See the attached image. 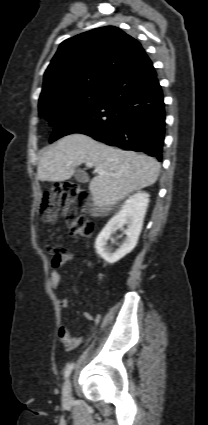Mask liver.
Instances as JSON below:
<instances>
[{"label": "liver", "instance_id": "1", "mask_svg": "<svg viewBox=\"0 0 208 425\" xmlns=\"http://www.w3.org/2000/svg\"><path fill=\"white\" fill-rule=\"evenodd\" d=\"M86 162H91L96 170L104 171L98 173L89 185L97 212L110 211L132 192L153 185L160 171V163L152 157L113 148L74 133L63 137L42 154L37 179L42 182L68 180L75 168Z\"/></svg>", "mask_w": 208, "mask_h": 425}]
</instances>
